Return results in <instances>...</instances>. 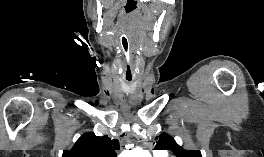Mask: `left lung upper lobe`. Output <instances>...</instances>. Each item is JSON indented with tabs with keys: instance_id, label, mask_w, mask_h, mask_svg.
<instances>
[{
	"instance_id": "1",
	"label": "left lung upper lobe",
	"mask_w": 264,
	"mask_h": 157,
	"mask_svg": "<svg viewBox=\"0 0 264 157\" xmlns=\"http://www.w3.org/2000/svg\"><path fill=\"white\" fill-rule=\"evenodd\" d=\"M155 149L172 150L177 157H202L200 150H185L176 144L174 139L167 134H161Z\"/></svg>"
}]
</instances>
